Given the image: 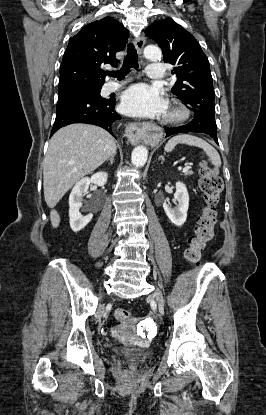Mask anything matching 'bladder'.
I'll list each match as a JSON object with an SVG mask.
<instances>
[{"label":"bladder","instance_id":"bladder-1","mask_svg":"<svg viewBox=\"0 0 266 415\" xmlns=\"http://www.w3.org/2000/svg\"><path fill=\"white\" fill-rule=\"evenodd\" d=\"M122 352L125 355L131 356L138 360H145L149 358L152 354V351L150 349H145V348H125L122 350Z\"/></svg>","mask_w":266,"mask_h":415}]
</instances>
